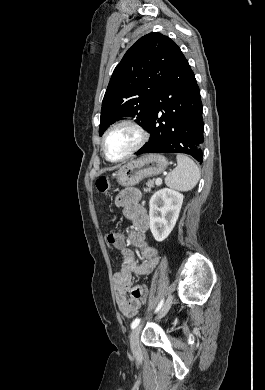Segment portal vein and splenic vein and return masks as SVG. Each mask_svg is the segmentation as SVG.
I'll use <instances>...</instances> for the list:
<instances>
[{"label": "portal vein and splenic vein", "instance_id": "1", "mask_svg": "<svg viewBox=\"0 0 265 390\" xmlns=\"http://www.w3.org/2000/svg\"><path fill=\"white\" fill-rule=\"evenodd\" d=\"M162 183V179L161 178H157L156 179V185H160Z\"/></svg>", "mask_w": 265, "mask_h": 390}]
</instances>
